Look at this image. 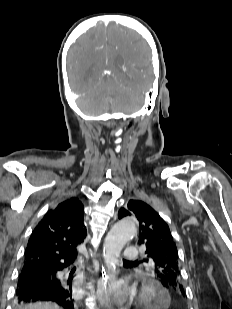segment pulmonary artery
<instances>
[{
	"mask_svg": "<svg viewBox=\"0 0 232 309\" xmlns=\"http://www.w3.org/2000/svg\"><path fill=\"white\" fill-rule=\"evenodd\" d=\"M125 259L135 261L138 259V250L136 247H128L123 253Z\"/></svg>",
	"mask_w": 232,
	"mask_h": 309,
	"instance_id": "pulmonary-artery-1",
	"label": "pulmonary artery"
}]
</instances>
